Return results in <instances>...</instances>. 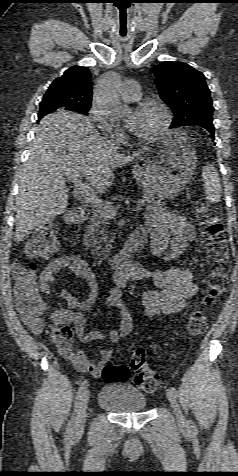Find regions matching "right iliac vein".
Listing matches in <instances>:
<instances>
[{"instance_id":"63e3f726","label":"right iliac vein","mask_w":238,"mask_h":476,"mask_svg":"<svg viewBox=\"0 0 238 476\" xmlns=\"http://www.w3.org/2000/svg\"><path fill=\"white\" fill-rule=\"evenodd\" d=\"M89 403V392L87 391L82 400L79 412L77 414L74 427H73V436L78 437L83 433L86 419V411Z\"/></svg>"}]
</instances>
